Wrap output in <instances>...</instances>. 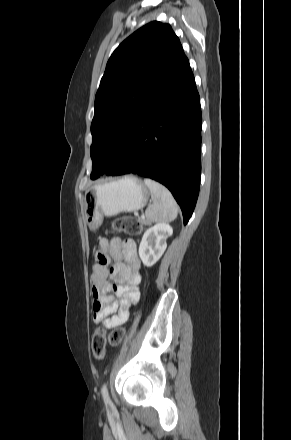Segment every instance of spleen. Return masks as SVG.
Listing matches in <instances>:
<instances>
[{
    "mask_svg": "<svg viewBox=\"0 0 291 440\" xmlns=\"http://www.w3.org/2000/svg\"><path fill=\"white\" fill-rule=\"evenodd\" d=\"M145 185L151 192L152 205H150L145 215L150 222H169L174 220L178 214V205L171 192L160 183L145 178Z\"/></svg>",
    "mask_w": 291,
    "mask_h": 440,
    "instance_id": "1",
    "label": "spleen"
}]
</instances>
